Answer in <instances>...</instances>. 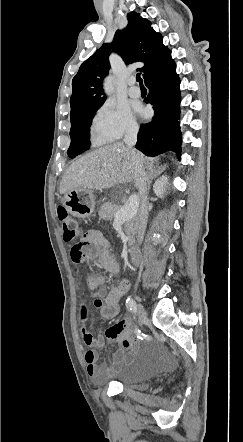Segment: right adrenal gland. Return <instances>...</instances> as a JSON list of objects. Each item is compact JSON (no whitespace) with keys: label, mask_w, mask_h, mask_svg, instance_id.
Wrapping results in <instances>:
<instances>
[{"label":"right adrenal gland","mask_w":243,"mask_h":442,"mask_svg":"<svg viewBox=\"0 0 243 442\" xmlns=\"http://www.w3.org/2000/svg\"><path fill=\"white\" fill-rule=\"evenodd\" d=\"M165 169V166L162 168V170H149L147 172V189L149 190L151 187L152 180L155 179L163 170Z\"/></svg>","instance_id":"2a0ac1e0"}]
</instances>
